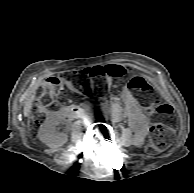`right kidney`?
<instances>
[{
	"label": "right kidney",
	"mask_w": 194,
	"mask_h": 193,
	"mask_svg": "<svg viewBox=\"0 0 194 193\" xmlns=\"http://www.w3.org/2000/svg\"><path fill=\"white\" fill-rule=\"evenodd\" d=\"M61 123L57 113H52L46 118L38 131V138L48 147L56 148L64 145L68 140L66 133H56V126Z\"/></svg>",
	"instance_id": "obj_1"
}]
</instances>
